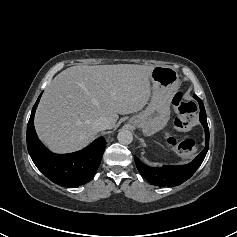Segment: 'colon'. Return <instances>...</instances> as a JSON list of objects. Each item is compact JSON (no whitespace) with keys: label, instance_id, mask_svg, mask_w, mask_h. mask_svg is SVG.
<instances>
[{"label":"colon","instance_id":"1","mask_svg":"<svg viewBox=\"0 0 237 237\" xmlns=\"http://www.w3.org/2000/svg\"><path fill=\"white\" fill-rule=\"evenodd\" d=\"M173 107L176 113L174 129L179 132L190 130L194 125L197 112L195 103L185 100L182 93H177L173 99ZM175 145L182 152H192L197 149L196 142L191 139L176 140Z\"/></svg>","mask_w":237,"mask_h":237}]
</instances>
